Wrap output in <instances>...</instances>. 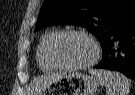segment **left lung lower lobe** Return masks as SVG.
I'll list each match as a JSON object with an SVG mask.
<instances>
[{
	"label": "left lung lower lobe",
	"instance_id": "obj_1",
	"mask_svg": "<svg viewBox=\"0 0 135 95\" xmlns=\"http://www.w3.org/2000/svg\"><path fill=\"white\" fill-rule=\"evenodd\" d=\"M102 60L94 68L123 73L135 81V15L101 44Z\"/></svg>",
	"mask_w": 135,
	"mask_h": 95
}]
</instances>
